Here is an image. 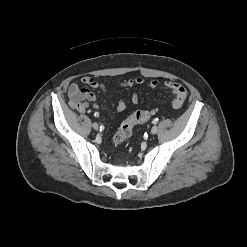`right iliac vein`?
Returning <instances> with one entry per match:
<instances>
[{"mask_svg": "<svg viewBox=\"0 0 247 247\" xmlns=\"http://www.w3.org/2000/svg\"><path fill=\"white\" fill-rule=\"evenodd\" d=\"M92 126H93V128H94L95 130H98V129H99V125H98L96 122H94V123L92 124Z\"/></svg>", "mask_w": 247, "mask_h": 247, "instance_id": "obj_1", "label": "right iliac vein"}]
</instances>
